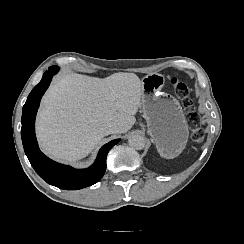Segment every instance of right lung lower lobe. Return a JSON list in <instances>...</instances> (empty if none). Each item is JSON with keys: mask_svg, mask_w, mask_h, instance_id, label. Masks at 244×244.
I'll list each match as a JSON object with an SVG mask.
<instances>
[{"mask_svg": "<svg viewBox=\"0 0 244 244\" xmlns=\"http://www.w3.org/2000/svg\"><path fill=\"white\" fill-rule=\"evenodd\" d=\"M57 66L49 67L29 94L22 112L21 137L26 156L32 167L47 183L66 190H77L98 182L106 170V157L109 150L120 139L105 144L99 151L95 163L87 169H74L59 164L46 157L39 149L35 136V117L42 95L48 88L52 76L58 71Z\"/></svg>", "mask_w": 244, "mask_h": 244, "instance_id": "obj_1", "label": "right lung lower lobe"}]
</instances>
